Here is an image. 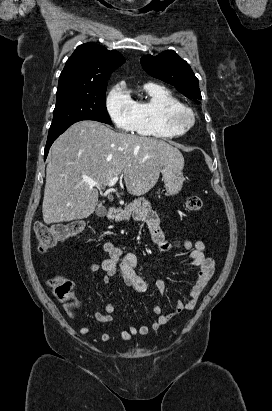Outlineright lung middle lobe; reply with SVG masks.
<instances>
[{
    "mask_svg": "<svg viewBox=\"0 0 272 411\" xmlns=\"http://www.w3.org/2000/svg\"><path fill=\"white\" fill-rule=\"evenodd\" d=\"M106 87L107 83L90 88L57 92L48 139L59 136L73 123L81 120L111 124L106 108Z\"/></svg>",
    "mask_w": 272,
    "mask_h": 411,
    "instance_id": "1",
    "label": "right lung middle lobe"
}]
</instances>
